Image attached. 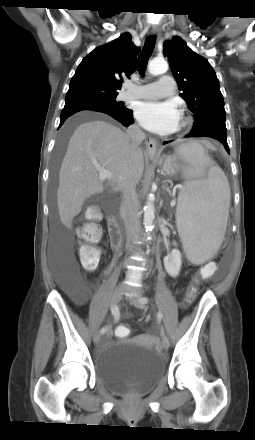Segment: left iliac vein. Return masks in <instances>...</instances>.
Masks as SVG:
<instances>
[{
	"label": "left iliac vein",
	"instance_id": "4c4485c4",
	"mask_svg": "<svg viewBox=\"0 0 255 440\" xmlns=\"http://www.w3.org/2000/svg\"><path fill=\"white\" fill-rule=\"evenodd\" d=\"M141 298H142V296L139 295V294H137V295L129 296V297H128V300H129V302H130L131 304H133V305H135V306H137V307H139V308H144V307H145V304L142 303V302L140 301ZM169 345H170L169 339H168V337L163 333V334H162V346H163L164 349H168V348H169Z\"/></svg>",
	"mask_w": 255,
	"mask_h": 440
}]
</instances>
